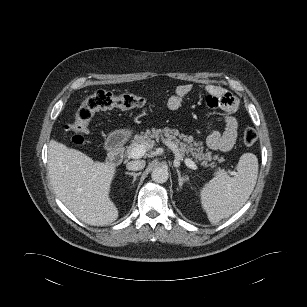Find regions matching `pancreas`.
I'll return each mask as SVG.
<instances>
[{"label": "pancreas", "instance_id": "1", "mask_svg": "<svg viewBox=\"0 0 307 307\" xmlns=\"http://www.w3.org/2000/svg\"><path fill=\"white\" fill-rule=\"evenodd\" d=\"M163 141L179 159L184 156H192L196 161L201 162L203 166L215 167L216 163L211 161H218L222 163L223 157L219 155H212L211 152L206 150L204 152L203 143L201 141H195L192 136L180 134L177 129H170L165 127L164 129L146 130L141 132L140 135H135L130 145L127 146L126 154L129 155L134 147L143 145L146 149H151L155 145V141ZM211 162L210 164H208Z\"/></svg>", "mask_w": 307, "mask_h": 307}]
</instances>
